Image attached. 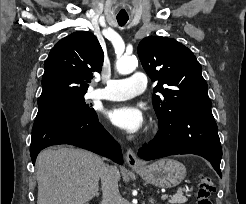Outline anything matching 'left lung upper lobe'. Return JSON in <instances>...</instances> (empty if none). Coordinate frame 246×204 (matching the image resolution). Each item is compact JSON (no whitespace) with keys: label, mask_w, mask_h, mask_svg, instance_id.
I'll use <instances>...</instances> for the list:
<instances>
[{"label":"left lung upper lobe","mask_w":246,"mask_h":204,"mask_svg":"<svg viewBox=\"0 0 246 204\" xmlns=\"http://www.w3.org/2000/svg\"><path fill=\"white\" fill-rule=\"evenodd\" d=\"M141 63L152 81H158L152 95L159 124L175 114L210 110L207 83L194 54L174 39L150 36L138 45ZM165 85V87H163Z\"/></svg>","instance_id":"1"}]
</instances>
